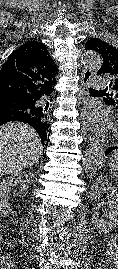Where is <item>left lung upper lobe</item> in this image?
<instances>
[{"instance_id": "1", "label": "left lung upper lobe", "mask_w": 118, "mask_h": 269, "mask_svg": "<svg viewBox=\"0 0 118 269\" xmlns=\"http://www.w3.org/2000/svg\"><path fill=\"white\" fill-rule=\"evenodd\" d=\"M85 50L98 52L103 58V65L98 70V75H107L110 77L109 86L114 91L110 94L113 98H105V102L118 108V50L112 45L93 38L86 42Z\"/></svg>"}]
</instances>
